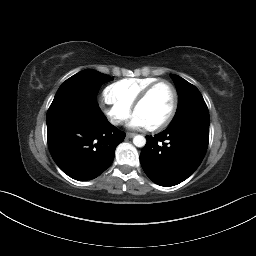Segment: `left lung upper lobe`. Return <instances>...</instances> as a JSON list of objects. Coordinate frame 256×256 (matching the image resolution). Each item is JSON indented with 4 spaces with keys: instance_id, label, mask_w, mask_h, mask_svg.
<instances>
[{
    "instance_id": "obj_1",
    "label": "left lung upper lobe",
    "mask_w": 256,
    "mask_h": 256,
    "mask_svg": "<svg viewBox=\"0 0 256 256\" xmlns=\"http://www.w3.org/2000/svg\"><path fill=\"white\" fill-rule=\"evenodd\" d=\"M170 77L175 83L179 97L176 114L168 127L188 120L209 124L208 108L199 90L177 75L171 74Z\"/></svg>"
}]
</instances>
